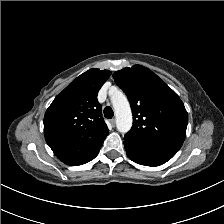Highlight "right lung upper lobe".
Listing matches in <instances>:
<instances>
[{
    "instance_id": "right-lung-upper-lobe-1",
    "label": "right lung upper lobe",
    "mask_w": 224,
    "mask_h": 224,
    "mask_svg": "<svg viewBox=\"0 0 224 224\" xmlns=\"http://www.w3.org/2000/svg\"><path fill=\"white\" fill-rule=\"evenodd\" d=\"M108 70L90 69L53 100L44 116V132L55 130L96 141L108 135L97 94L110 77Z\"/></svg>"
}]
</instances>
